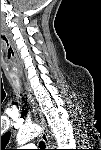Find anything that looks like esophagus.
Here are the masks:
<instances>
[{"label": "esophagus", "mask_w": 101, "mask_h": 150, "mask_svg": "<svg viewBox=\"0 0 101 150\" xmlns=\"http://www.w3.org/2000/svg\"><path fill=\"white\" fill-rule=\"evenodd\" d=\"M26 90L28 91V98H29V100H30V102H31V104L33 106V111H34V114H35L36 121L39 123V125L42 128L41 138L44 141L45 145L48 146V131H47V128H46V125H45L42 113L40 112L36 102L32 98L27 85H26Z\"/></svg>", "instance_id": "34e87169"}]
</instances>
